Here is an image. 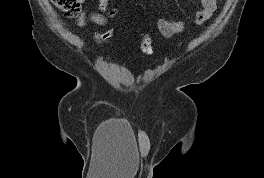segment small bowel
<instances>
[{"instance_id":"small-bowel-1","label":"small bowel","mask_w":264,"mask_h":178,"mask_svg":"<svg viewBox=\"0 0 264 178\" xmlns=\"http://www.w3.org/2000/svg\"><path fill=\"white\" fill-rule=\"evenodd\" d=\"M81 2L85 3L86 0H81ZM109 3L110 0H98L99 11L90 14L83 11L77 18L76 24L79 27H84L90 21L98 26H104L107 23L108 18H113L118 14V9L110 8ZM216 8V0H201V8L196 12L194 18L195 25H201L209 20L214 14ZM156 26L162 36L170 38L184 31L185 22L157 17Z\"/></svg>"}]
</instances>
